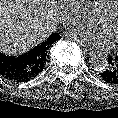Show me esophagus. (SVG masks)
<instances>
[{
    "instance_id": "esophagus-1",
    "label": "esophagus",
    "mask_w": 118,
    "mask_h": 118,
    "mask_svg": "<svg viewBox=\"0 0 118 118\" xmlns=\"http://www.w3.org/2000/svg\"><path fill=\"white\" fill-rule=\"evenodd\" d=\"M82 50L85 54H88V55H93L95 53L93 50H90L86 48L85 46H82Z\"/></svg>"
}]
</instances>
